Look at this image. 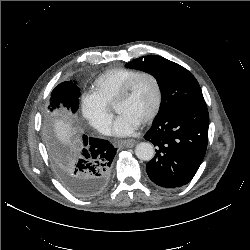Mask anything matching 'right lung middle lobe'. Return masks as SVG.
Instances as JSON below:
<instances>
[{
	"instance_id": "dd1d6c3e",
	"label": "right lung middle lobe",
	"mask_w": 250,
	"mask_h": 250,
	"mask_svg": "<svg viewBox=\"0 0 250 250\" xmlns=\"http://www.w3.org/2000/svg\"><path fill=\"white\" fill-rule=\"evenodd\" d=\"M79 96L80 90L75 81L62 82L52 91L48 109L53 111L62 104L67 109L70 108L72 112H76L79 106Z\"/></svg>"
}]
</instances>
